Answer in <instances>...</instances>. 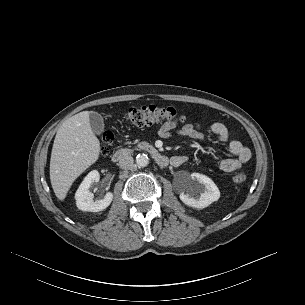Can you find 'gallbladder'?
<instances>
[{
  "mask_svg": "<svg viewBox=\"0 0 305 305\" xmlns=\"http://www.w3.org/2000/svg\"><path fill=\"white\" fill-rule=\"evenodd\" d=\"M89 122L92 128V131L97 134L101 135L104 131V120L101 114L98 112H91L89 115Z\"/></svg>",
  "mask_w": 305,
  "mask_h": 305,
  "instance_id": "bac80fb5",
  "label": "gallbladder"
}]
</instances>
